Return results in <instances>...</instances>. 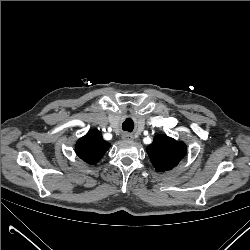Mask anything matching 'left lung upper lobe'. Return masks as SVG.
I'll return each instance as SVG.
<instances>
[{
    "label": "left lung upper lobe",
    "mask_w": 250,
    "mask_h": 250,
    "mask_svg": "<svg viewBox=\"0 0 250 250\" xmlns=\"http://www.w3.org/2000/svg\"><path fill=\"white\" fill-rule=\"evenodd\" d=\"M146 151L155 169L164 172L173 169L182 160L187 148L183 142H177L166 135H158Z\"/></svg>",
    "instance_id": "obj_1"
}]
</instances>
